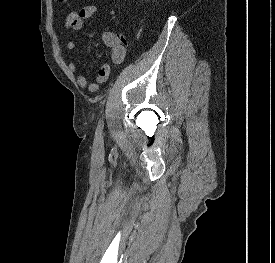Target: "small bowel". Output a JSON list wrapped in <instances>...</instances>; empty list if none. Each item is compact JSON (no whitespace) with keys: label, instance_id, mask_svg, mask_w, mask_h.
<instances>
[{"label":"small bowel","instance_id":"small-bowel-1","mask_svg":"<svg viewBox=\"0 0 275 263\" xmlns=\"http://www.w3.org/2000/svg\"><path fill=\"white\" fill-rule=\"evenodd\" d=\"M99 8L96 5L80 6L70 12L65 21V27L71 31H79L83 28L84 22L97 14ZM105 45L110 50V57L115 64H121L125 58L126 47L123 38L112 32H105L102 35ZM77 43L74 40H69L65 44L68 51L76 49ZM68 70L71 74H76L77 67L74 61L68 63ZM111 73V67L108 63H104L97 71L96 82H88L87 78L79 74L76 77L77 84L82 88H87L91 92H95L99 88V84L105 82Z\"/></svg>","mask_w":275,"mask_h":263}]
</instances>
